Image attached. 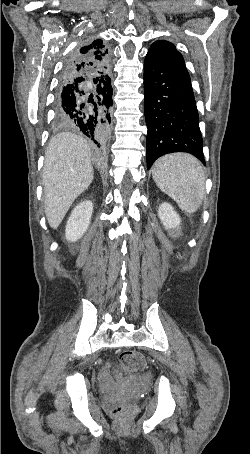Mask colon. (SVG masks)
I'll use <instances>...</instances> for the list:
<instances>
[{"label":"colon","mask_w":250,"mask_h":454,"mask_svg":"<svg viewBox=\"0 0 250 454\" xmlns=\"http://www.w3.org/2000/svg\"><path fill=\"white\" fill-rule=\"evenodd\" d=\"M118 364L125 373H139L145 368V359L143 355L137 351L125 350L119 354ZM128 409L126 403H121L113 407L112 411L115 415L121 416Z\"/></svg>","instance_id":"colon-1"}]
</instances>
